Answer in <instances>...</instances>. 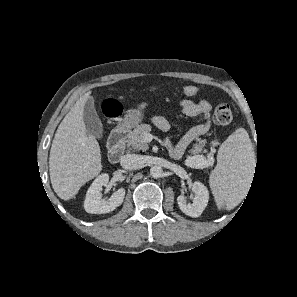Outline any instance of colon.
Returning a JSON list of instances; mask_svg holds the SVG:
<instances>
[{
	"label": "colon",
	"mask_w": 297,
	"mask_h": 297,
	"mask_svg": "<svg viewBox=\"0 0 297 297\" xmlns=\"http://www.w3.org/2000/svg\"><path fill=\"white\" fill-rule=\"evenodd\" d=\"M183 94L187 97H193L199 93V88L193 85L185 86L182 90ZM101 112L107 119H114L121 115V104L112 98H106L102 101L100 106ZM213 120L216 124L226 125L232 120V110L228 104H220L216 107Z\"/></svg>",
	"instance_id": "obj_1"
}]
</instances>
